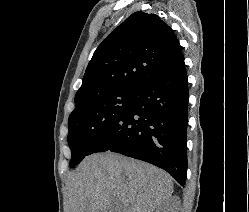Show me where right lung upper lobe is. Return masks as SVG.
<instances>
[{
    "label": "right lung upper lobe",
    "mask_w": 249,
    "mask_h": 212,
    "mask_svg": "<svg viewBox=\"0 0 249 212\" xmlns=\"http://www.w3.org/2000/svg\"><path fill=\"white\" fill-rule=\"evenodd\" d=\"M184 60L173 30L155 14L133 13L98 46L75 107L107 93L137 92Z\"/></svg>",
    "instance_id": "1"
}]
</instances>
